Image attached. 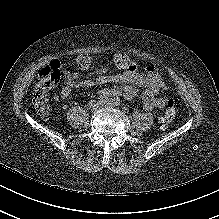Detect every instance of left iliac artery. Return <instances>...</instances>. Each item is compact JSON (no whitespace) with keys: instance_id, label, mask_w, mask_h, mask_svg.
Segmentation results:
<instances>
[{"instance_id":"obj_1","label":"left iliac artery","mask_w":219,"mask_h":219,"mask_svg":"<svg viewBox=\"0 0 219 219\" xmlns=\"http://www.w3.org/2000/svg\"><path fill=\"white\" fill-rule=\"evenodd\" d=\"M112 102H113V104L114 105H120V99L117 97V98H114L113 100H112Z\"/></svg>"}]
</instances>
